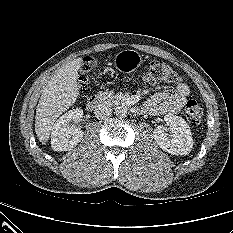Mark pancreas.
Returning a JSON list of instances; mask_svg holds the SVG:
<instances>
[{
    "label": "pancreas",
    "instance_id": "pancreas-1",
    "mask_svg": "<svg viewBox=\"0 0 233 233\" xmlns=\"http://www.w3.org/2000/svg\"><path fill=\"white\" fill-rule=\"evenodd\" d=\"M97 97L103 101V102H107V103H111L114 102L117 99V96L115 95V93L113 91H99L97 93Z\"/></svg>",
    "mask_w": 233,
    "mask_h": 233
}]
</instances>
